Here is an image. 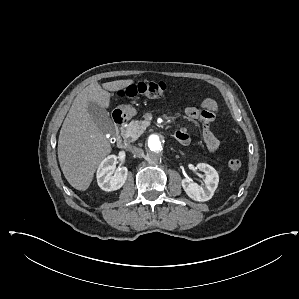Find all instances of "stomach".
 <instances>
[{
	"label": "stomach",
	"instance_id": "stomach-1",
	"mask_svg": "<svg viewBox=\"0 0 299 299\" xmlns=\"http://www.w3.org/2000/svg\"><path fill=\"white\" fill-rule=\"evenodd\" d=\"M118 109L121 111V113L125 116L126 119H130L137 114L136 109L129 104L120 105Z\"/></svg>",
	"mask_w": 299,
	"mask_h": 299
}]
</instances>
